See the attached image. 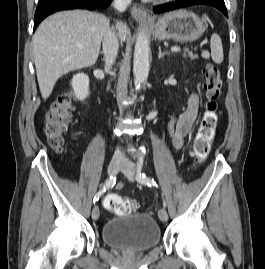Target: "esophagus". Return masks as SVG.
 <instances>
[{
    "mask_svg": "<svg viewBox=\"0 0 265 269\" xmlns=\"http://www.w3.org/2000/svg\"><path fill=\"white\" fill-rule=\"evenodd\" d=\"M131 15L138 22H145L150 19L147 12L137 5L131 8Z\"/></svg>",
    "mask_w": 265,
    "mask_h": 269,
    "instance_id": "34e87169",
    "label": "esophagus"
}]
</instances>
